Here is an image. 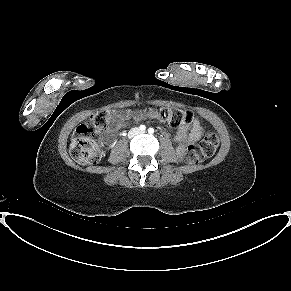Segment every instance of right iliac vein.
Wrapping results in <instances>:
<instances>
[{
  "label": "right iliac vein",
  "mask_w": 291,
  "mask_h": 291,
  "mask_svg": "<svg viewBox=\"0 0 291 291\" xmlns=\"http://www.w3.org/2000/svg\"><path fill=\"white\" fill-rule=\"evenodd\" d=\"M136 132H137V130H136V129H134V130H133V133H136Z\"/></svg>",
  "instance_id": "1"
}]
</instances>
